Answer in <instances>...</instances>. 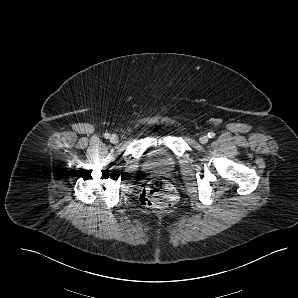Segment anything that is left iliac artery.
Listing matches in <instances>:
<instances>
[{
	"label": "left iliac artery",
	"mask_w": 298,
	"mask_h": 298,
	"mask_svg": "<svg viewBox=\"0 0 298 298\" xmlns=\"http://www.w3.org/2000/svg\"><path fill=\"white\" fill-rule=\"evenodd\" d=\"M208 137H209V138H213V137H215V133H214V132H212V131H211V132H209V133H208Z\"/></svg>",
	"instance_id": "1"
}]
</instances>
